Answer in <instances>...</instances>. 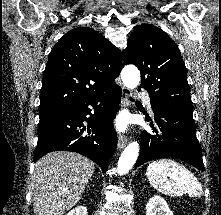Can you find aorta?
Wrapping results in <instances>:
<instances>
[{
	"instance_id": "aorta-1",
	"label": "aorta",
	"mask_w": 221,
	"mask_h": 215,
	"mask_svg": "<svg viewBox=\"0 0 221 215\" xmlns=\"http://www.w3.org/2000/svg\"><path fill=\"white\" fill-rule=\"evenodd\" d=\"M121 78L124 85L128 89L136 88L140 83V71L134 65H127L121 71ZM139 155V144L133 141L122 152L118 164L117 171L120 175L126 174L135 164Z\"/></svg>"
}]
</instances>
